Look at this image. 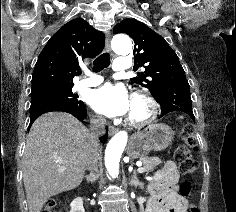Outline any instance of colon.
<instances>
[{
    "label": "colon",
    "instance_id": "colon-1",
    "mask_svg": "<svg viewBox=\"0 0 236 212\" xmlns=\"http://www.w3.org/2000/svg\"><path fill=\"white\" fill-rule=\"evenodd\" d=\"M181 145L176 149L175 161L179 165L181 172L185 175L195 173L197 169V145L194 137L193 128L191 125H185L180 134ZM181 194L185 197L192 198L195 196V186L190 181H184L181 185ZM55 201L47 200L42 212H53ZM187 212H199L195 204L188 207Z\"/></svg>",
    "mask_w": 236,
    "mask_h": 212
}]
</instances>
